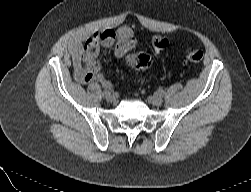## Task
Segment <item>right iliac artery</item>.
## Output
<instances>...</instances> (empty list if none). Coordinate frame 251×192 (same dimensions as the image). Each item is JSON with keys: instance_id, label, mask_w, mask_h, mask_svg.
Segmentation results:
<instances>
[{"instance_id": "obj_1", "label": "right iliac artery", "mask_w": 251, "mask_h": 192, "mask_svg": "<svg viewBox=\"0 0 251 192\" xmlns=\"http://www.w3.org/2000/svg\"><path fill=\"white\" fill-rule=\"evenodd\" d=\"M111 94V88L110 87H107L104 92H103V96L104 97H107V95Z\"/></svg>"}]
</instances>
